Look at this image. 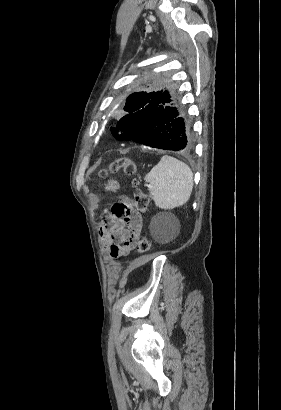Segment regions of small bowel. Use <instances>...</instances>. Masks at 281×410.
Segmentation results:
<instances>
[{
  "mask_svg": "<svg viewBox=\"0 0 281 410\" xmlns=\"http://www.w3.org/2000/svg\"><path fill=\"white\" fill-rule=\"evenodd\" d=\"M110 187L116 189L117 184L112 181ZM142 223V216L138 213L128 217H116L111 214L103 217L99 235L112 259L126 256L134 250Z\"/></svg>",
  "mask_w": 281,
  "mask_h": 410,
  "instance_id": "1",
  "label": "small bowel"
}]
</instances>
